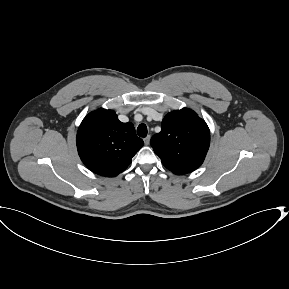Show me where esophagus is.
Listing matches in <instances>:
<instances>
[{
    "instance_id": "1",
    "label": "esophagus",
    "mask_w": 289,
    "mask_h": 289,
    "mask_svg": "<svg viewBox=\"0 0 289 289\" xmlns=\"http://www.w3.org/2000/svg\"><path fill=\"white\" fill-rule=\"evenodd\" d=\"M144 143H145V145H149V143H150V136L149 135L144 138Z\"/></svg>"
}]
</instances>
